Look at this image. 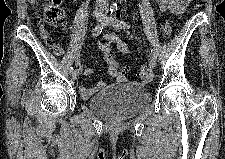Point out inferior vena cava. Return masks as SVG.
Returning a JSON list of instances; mask_svg holds the SVG:
<instances>
[{
  "label": "inferior vena cava",
  "mask_w": 225,
  "mask_h": 159,
  "mask_svg": "<svg viewBox=\"0 0 225 159\" xmlns=\"http://www.w3.org/2000/svg\"><path fill=\"white\" fill-rule=\"evenodd\" d=\"M96 5L98 6H108V0H96Z\"/></svg>",
  "instance_id": "1"
}]
</instances>
